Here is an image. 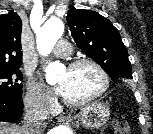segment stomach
Returning a JSON list of instances; mask_svg holds the SVG:
<instances>
[{
  "label": "stomach",
  "mask_w": 153,
  "mask_h": 134,
  "mask_svg": "<svg viewBox=\"0 0 153 134\" xmlns=\"http://www.w3.org/2000/svg\"><path fill=\"white\" fill-rule=\"evenodd\" d=\"M109 116V106L95 102L81 109L78 124L87 129H97L107 122Z\"/></svg>",
  "instance_id": "0dacf381"
}]
</instances>
